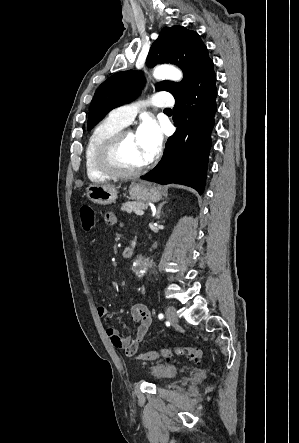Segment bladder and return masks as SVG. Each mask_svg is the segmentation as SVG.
Wrapping results in <instances>:
<instances>
[{
	"label": "bladder",
	"mask_w": 299,
	"mask_h": 443,
	"mask_svg": "<svg viewBox=\"0 0 299 443\" xmlns=\"http://www.w3.org/2000/svg\"><path fill=\"white\" fill-rule=\"evenodd\" d=\"M148 373L155 383L173 379L178 373V367L173 363L156 362L148 368Z\"/></svg>",
	"instance_id": "1"
}]
</instances>
